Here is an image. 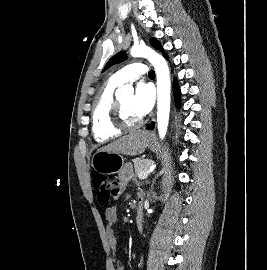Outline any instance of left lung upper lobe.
<instances>
[{
  "label": "left lung upper lobe",
  "instance_id": "obj_1",
  "mask_svg": "<svg viewBox=\"0 0 267 270\" xmlns=\"http://www.w3.org/2000/svg\"><path fill=\"white\" fill-rule=\"evenodd\" d=\"M150 44L157 50H159L160 52H164L161 43L159 41H157L155 38L150 39ZM127 59V55L125 51H121L117 54H115L106 64L104 71L107 70L110 66L120 63L124 60Z\"/></svg>",
  "mask_w": 267,
  "mask_h": 270
}]
</instances>
